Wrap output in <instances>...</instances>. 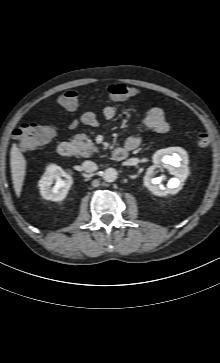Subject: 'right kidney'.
<instances>
[{
	"instance_id": "ca27d5eb",
	"label": "right kidney",
	"mask_w": 220,
	"mask_h": 363,
	"mask_svg": "<svg viewBox=\"0 0 220 363\" xmlns=\"http://www.w3.org/2000/svg\"><path fill=\"white\" fill-rule=\"evenodd\" d=\"M61 177H64L63 180ZM55 181V185L52 186ZM73 179L68 175L61 167L56 165H49L42 178L40 179L38 186L40 187V194L46 200L62 201L71 185Z\"/></svg>"
}]
</instances>
